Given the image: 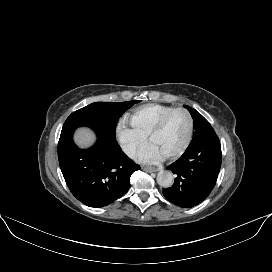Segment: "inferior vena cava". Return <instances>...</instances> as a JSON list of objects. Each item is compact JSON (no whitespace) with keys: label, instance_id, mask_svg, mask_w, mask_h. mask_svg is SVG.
<instances>
[{"label":"inferior vena cava","instance_id":"1","mask_svg":"<svg viewBox=\"0 0 272 272\" xmlns=\"http://www.w3.org/2000/svg\"><path fill=\"white\" fill-rule=\"evenodd\" d=\"M123 151L131 158H135V156L137 155L136 148L131 145L124 146Z\"/></svg>","mask_w":272,"mask_h":272}]
</instances>
